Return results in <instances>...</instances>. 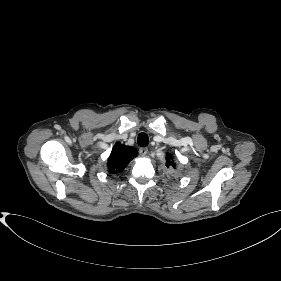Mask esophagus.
<instances>
[{
	"label": "esophagus",
	"mask_w": 281,
	"mask_h": 281,
	"mask_svg": "<svg viewBox=\"0 0 281 281\" xmlns=\"http://www.w3.org/2000/svg\"><path fill=\"white\" fill-rule=\"evenodd\" d=\"M139 153H140L141 156H146L147 153H148V148L147 147H141L139 149Z\"/></svg>",
	"instance_id": "34e87169"
}]
</instances>
